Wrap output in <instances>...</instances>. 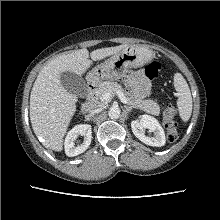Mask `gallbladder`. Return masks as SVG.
<instances>
[{
	"label": "gallbladder",
	"mask_w": 220,
	"mask_h": 220,
	"mask_svg": "<svg viewBox=\"0 0 220 220\" xmlns=\"http://www.w3.org/2000/svg\"><path fill=\"white\" fill-rule=\"evenodd\" d=\"M60 80L64 88L70 93L79 96L85 97L87 94V85L85 80L73 72H63L60 75Z\"/></svg>",
	"instance_id": "gallbladder-1"
}]
</instances>
